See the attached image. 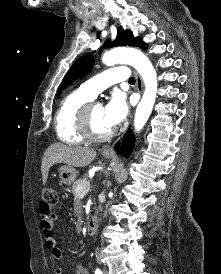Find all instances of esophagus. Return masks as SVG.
Returning a JSON list of instances; mask_svg holds the SVG:
<instances>
[{
	"instance_id": "1",
	"label": "esophagus",
	"mask_w": 221,
	"mask_h": 274,
	"mask_svg": "<svg viewBox=\"0 0 221 274\" xmlns=\"http://www.w3.org/2000/svg\"><path fill=\"white\" fill-rule=\"evenodd\" d=\"M134 75L136 77V86H137V90L138 92L142 93L143 91V82L141 77L139 76V74L134 71ZM103 153H107V154H114V147L112 145H106L103 149H102Z\"/></svg>"
}]
</instances>
